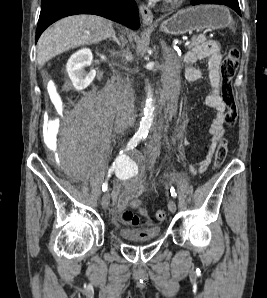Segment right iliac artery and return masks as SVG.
<instances>
[{
	"label": "right iliac artery",
	"mask_w": 267,
	"mask_h": 298,
	"mask_svg": "<svg viewBox=\"0 0 267 298\" xmlns=\"http://www.w3.org/2000/svg\"><path fill=\"white\" fill-rule=\"evenodd\" d=\"M142 139V136L140 135H135L131 138V140L128 142L127 147L124 151H121L120 154L117 156L115 160V164L113 163V167L109 169L108 172V177L113 173L115 167H121L123 166L126 162H128L129 157L127 156L126 152L129 150H133L137 144L140 142ZM108 189V184L107 182H104L102 185V190L106 191Z\"/></svg>",
	"instance_id": "obj_1"
}]
</instances>
